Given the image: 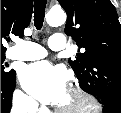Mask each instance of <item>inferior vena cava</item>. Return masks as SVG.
<instances>
[{
    "mask_svg": "<svg viewBox=\"0 0 121 113\" xmlns=\"http://www.w3.org/2000/svg\"><path fill=\"white\" fill-rule=\"evenodd\" d=\"M38 104L34 101L21 102L15 104L11 110V113H36Z\"/></svg>",
    "mask_w": 121,
    "mask_h": 113,
    "instance_id": "obj_1",
    "label": "inferior vena cava"
}]
</instances>
